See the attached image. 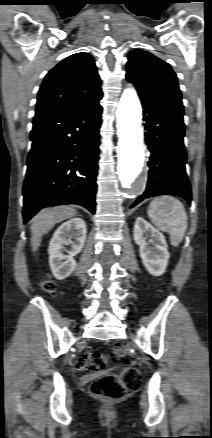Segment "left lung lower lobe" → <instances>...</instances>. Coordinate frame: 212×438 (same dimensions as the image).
<instances>
[{
    "instance_id": "1",
    "label": "left lung lower lobe",
    "mask_w": 212,
    "mask_h": 438,
    "mask_svg": "<svg viewBox=\"0 0 212 438\" xmlns=\"http://www.w3.org/2000/svg\"><path fill=\"white\" fill-rule=\"evenodd\" d=\"M145 121V141L150 151V167L144 198L176 195L191 203V186L185 171L183 108L140 96Z\"/></svg>"
}]
</instances>
